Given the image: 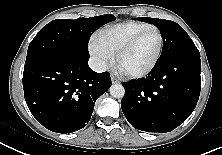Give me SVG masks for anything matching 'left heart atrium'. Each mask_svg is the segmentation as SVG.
<instances>
[{"mask_svg": "<svg viewBox=\"0 0 222 155\" xmlns=\"http://www.w3.org/2000/svg\"><path fill=\"white\" fill-rule=\"evenodd\" d=\"M118 69L120 72H124V70L120 66L118 67Z\"/></svg>", "mask_w": 222, "mask_h": 155, "instance_id": "39dd6f15", "label": "left heart atrium"}]
</instances>
